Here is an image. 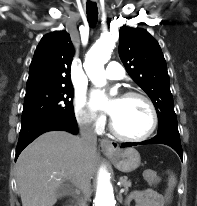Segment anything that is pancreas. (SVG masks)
Here are the masks:
<instances>
[{"label":"pancreas","mask_w":197,"mask_h":206,"mask_svg":"<svg viewBox=\"0 0 197 206\" xmlns=\"http://www.w3.org/2000/svg\"><path fill=\"white\" fill-rule=\"evenodd\" d=\"M120 182L122 184V186L124 187L125 192L127 193L129 188L131 187V181L128 180V178L126 176L120 177Z\"/></svg>","instance_id":"cf45deb5"}]
</instances>
